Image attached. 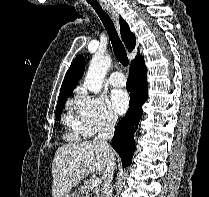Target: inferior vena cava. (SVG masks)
Masks as SVG:
<instances>
[{
  "instance_id": "inferior-vena-cava-1",
  "label": "inferior vena cava",
  "mask_w": 209,
  "mask_h": 197,
  "mask_svg": "<svg viewBox=\"0 0 209 197\" xmlns=\"http://www.w3.org/2000/svg\"><path fill=\"white\" fill-rule=\"evenodd\" d=\"M116 122L117 118L115 116H113L112 114H106L105 119L103 121V125L99 129L98 135L95 138L96 141L106 146L109 154L111 155L108 159L107 166L103 173L104 182L101 190V197H111L110 186L115 168V162L113 158L112 149L108 145L107 141L113 138Z\"/></svg>"
}]
</instances>
